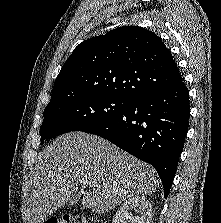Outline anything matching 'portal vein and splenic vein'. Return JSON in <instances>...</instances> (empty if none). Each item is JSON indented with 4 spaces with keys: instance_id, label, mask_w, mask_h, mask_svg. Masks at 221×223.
Here are the masks:
<instances>
[{
    "instance_id": "18ae733b",
    "label": "portal vein and splenic vein",
    "mask_w": 221,
    "mask_h": 223,
    "mask_svg": "<svg viewBox=\"0 0 221 223\" xmlns=\"http://www.w3.org/2000/svg\"><path fill=\"white\" fill-rule=\"evenodd\" d=\"M81 185H82V188H86L87 187V183L86 182H82Z\"/></svg>"
}]
</instances>
